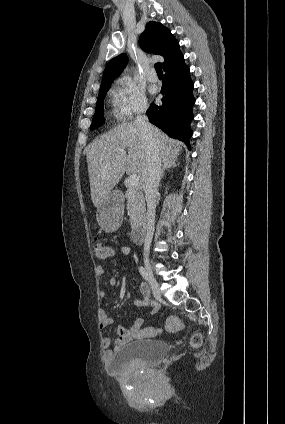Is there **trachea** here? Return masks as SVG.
Returning <instances> with one entry per match:
<instances>
[{
	"mask_svg": "<svg viewBox=\"0 0 285 424\" xmlns=\"http://www.w3.org/2000/svg\"><path fill=\"white\" fill-rule=\"evenodd\" d=\"M154 67H155L157 74H163L162 67H161L160 63H156Z\"/></svg>",
	"mask_w": 285,
	"mask_h": 424,
	"instance_id": "obj_1",
	"label": "trachea"
}]
</instances>
